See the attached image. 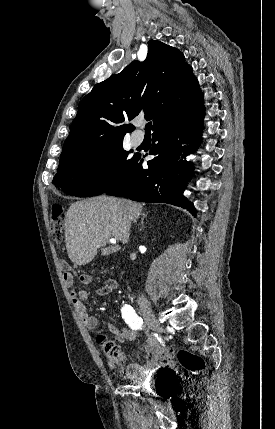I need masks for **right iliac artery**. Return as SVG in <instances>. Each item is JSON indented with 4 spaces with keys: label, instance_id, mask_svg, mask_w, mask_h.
<instances>
[{
    "label": "right iliac artery",
    "instance_id": "obj_1",
    "mask_svg": "<svg viewBox=\"0 0 275 429\" xmlns=\"http://www.w3.org/2000/svg\"><path fill=\"white\" fill-rule=\"evenodd\" d=\"M122 317L124 321L129 325L130 328L134 330H139L143 328V320L139 317L135 310L130 305H124L121 309ZM157 340L160 343H163L161 338L158 337L157 334H154Z\"/></svg>",
    "mask_w": 275,
    "mask_h": 429
}]
</instances>
